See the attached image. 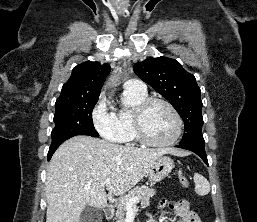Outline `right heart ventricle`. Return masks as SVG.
Segmentation results:
<instances>
[{
	"instance_id": "right-heart-ventricle-1",
	"label": "right heart ventricle",
	"mask_w": 257,
	"mask_h": 222,
	"mask_svg": "<svg viewBox=\"0 0 257 222\" xmlns=\"http://www.w3.org/2000/svg\"><path fill=\"white\" fill-rule=\"evenodd\" d=\"M146 98L147 92H135L125 89L122 108L114 114L115 121L121 131L117 142L134 143L138 140L133 124V114L137 106Z\"/></svg>"
}]
</instances>
